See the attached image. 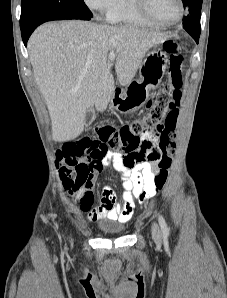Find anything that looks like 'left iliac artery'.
I'll return each mask as SVG.
<instances>
[{
	"instance_id": "obj_1",
	"label": "left iliac artery",
	"mask_w": 227,
	"mask_h": 298,
	"mask_svg": "<svg viewBox=\"0 0 227 298\" xmlns=\"http://www.w3.org/2000/svg\"><path fill=\"white\" fill-rule=\"evenodd\" d=\"M159 225L161 227L162 233L165 237L169 235V229L167 227L166 221L162 215L158 216Z\"/></svg>"
}]
</instances>
